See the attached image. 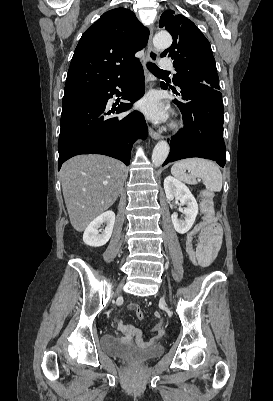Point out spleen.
<instances>
[{
	"mask_svg": "<svg viewBox=\"0 0 273 401\" xmlns=\"http://www.w3.org/2000/svg\"><path fill=\"white\" fill-rule=\"evenodd\" d=\"M185 170H191L190 174H186ZM171 172L173 176L183 182H188V184H196V178H203L207 190H212V192H217L222 188L221 170L212 160L183 158V160L174 162Z\"/></svg>",
	"mask_w": 273,
	"mask_h": 401,
	"instance_id": "spleen-1",
	"label": "spleen"
}]
</instances>
